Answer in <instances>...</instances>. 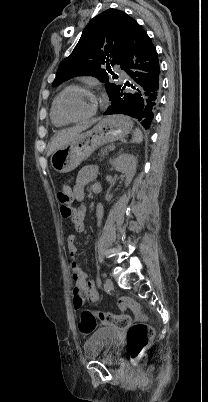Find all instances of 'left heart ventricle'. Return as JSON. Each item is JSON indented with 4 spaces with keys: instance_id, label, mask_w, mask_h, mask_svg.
<instances>
[{
    "instance_id": "obj_1",
    "label": "left heart ventricle",
    "mask_w": 208,
    "mask_h": 402,
    "mask_svg": "<svg viewBox=\"0 0 208 402\" xmlns=\"http://www.w3.org/2000/svg\"><path fill=\"white\" fill-rule=\"evenodd\" d=\"M98 100L97 95L91 91L72 89L60 99L61 109L71 117H80L88 114Z\"/></svg>"
}]
</instances>
